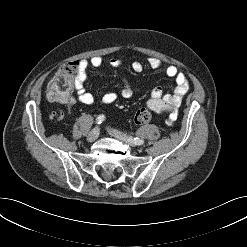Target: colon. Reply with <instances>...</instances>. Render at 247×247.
<instances>
[{
  "label": "colon",
  "mask_w": 247,
  "mask_h": 247,
  "mask_svg": "<svg viewBox=\"0 0 247 247\" xmlns=\"http://www.w3.org/2000/svg\"><path fill=\"white\" fill-rule=\"evenodd\" d=\"M77 83L78 64L76 61L67 62L47 83V96L49 100L56 103L69 100ZM151 119V113L145 108L139 109L134 117L137 125L147 124Z\"/></svg>",
  "instance_id": "5ec220e1"
}]
</instances>
